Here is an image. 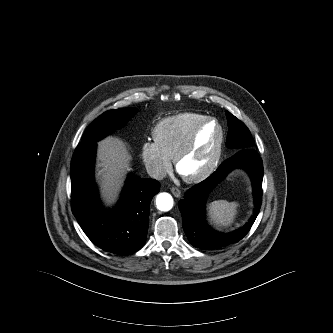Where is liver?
Masks as SVG:
<instances>
[{"mask_svg":"<svg viewBox=\"0 0 333 333\" xmlns=\"http://www.w3.org/2000/svg\"><path fill=\"white\" fill-rule=\"evenodd\" d=\"M131 156L125 144L118 138L107 137L98 143V175L101 180L102 192L112 199L122 182Z\"/></svg>","mask_w":333,"mask_h":333,"instance_id":"1","label":"liver"}]
</instances>
